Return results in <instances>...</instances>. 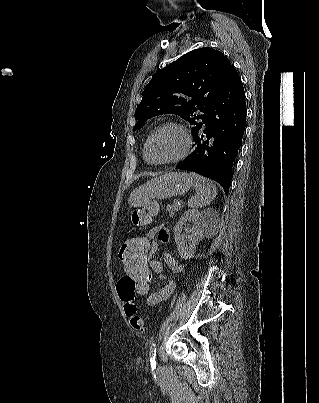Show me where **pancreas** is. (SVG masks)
Instances as JSON below:
<instances>
[{
	"mask_svg": "<svg viewBox=\"0 0 319 403\" xmlns=\"http://www.w3.org/2000/svg\"><path fill=\"white\" fill-rule=\"evenodd\" d=\"M180 208L181 205H178L175 201L172 206H167V211L170 217H172L176 212H178Z\"/></svg>",
	"mask_w": 319,
	"mask_h": 403,
	"instance_id": "cf45deb5",
	"label": "pancreas"
}]
</instances>
